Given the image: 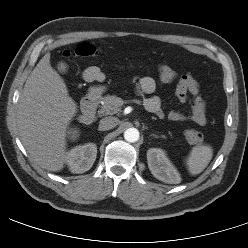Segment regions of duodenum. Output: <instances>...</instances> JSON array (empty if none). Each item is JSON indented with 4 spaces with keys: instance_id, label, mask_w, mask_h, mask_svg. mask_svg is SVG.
<instances>
[{
    "instance_id": "obj_1",
    "label": "duodenum",
    "mask_w": 248,
    "mask_h": 248,
    "mask_svg": "<svg viewBox=\"0 0 248 248\" xmlns=\"http://www.w3.org/2000/svg\"><path fill=\"white\" fill-rule=\"evenodd\" d=\"M100 101V95L97 91H91L81 103L79 121L83 124L92 123L96 116V109Z\"/></svg>"
}]
</instances>
